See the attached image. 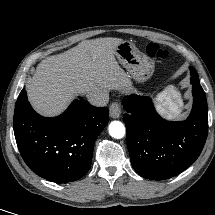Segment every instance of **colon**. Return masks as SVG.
<instances>
[{"mask_svg":"<svg viewBox=\"0 0 215 215\" xmlns=\"http://www.w3.org/2000/svg\"><path fill=\"white\" fill-rule=\"evenodd\" d=\"M145 51L148 56L159 60H165L168 57V52L156 43H149L146 46Z\"/></svg>","mask_w":215,"mask_h":215,"instance_id":"obj_1","label":"colon"}]
</instances>
